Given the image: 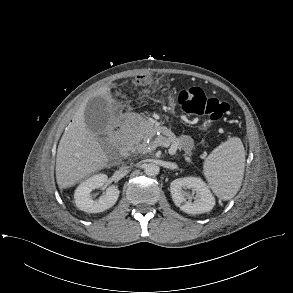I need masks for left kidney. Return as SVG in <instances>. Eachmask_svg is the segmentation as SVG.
I'll return each instance as SVG.
<instances>
[{"label": "left kidney", "mask_w": 293, "mask_h": 293, "mask_svg": "<svg viewBox=\"0 0 293 293\" xmlns=\"http://www.w3.org/2000/svg\"><path fill=\"white\" fill-rule=\"evenodd\" d=\"M187 189L196 193L195 201ZM170 192L176 206L189 214L209 212L215 206V198L206 183L199 177L178 178L171 182Z\"/></svg>", "instance_id": "left-kidney-1"}]
</instances>
